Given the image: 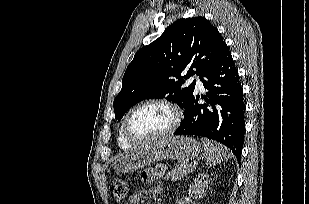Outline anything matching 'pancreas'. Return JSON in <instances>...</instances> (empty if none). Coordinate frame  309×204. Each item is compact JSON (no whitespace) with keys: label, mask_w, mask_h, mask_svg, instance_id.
I'll use <instances>...</instances> for the list:
<instances>
[{"label":"pancreas","mask_w":309,"mask_h":204,"mask_svg":"<svg viewBox=\"0 0 309 204\" xmlns=\"http://www.w3.org/2000/svg\"><path fill=\"white\" fill-rule=\"evenodd\" d=\"M194 170V167H191L190 164L182 163L172 169L170 172L167 173L165 176V180L170 179L172 181H176L178 179L183 178L187 174L191 173Z\"/></svg>","instance_id":"pancreas-1"}]
</instances>
